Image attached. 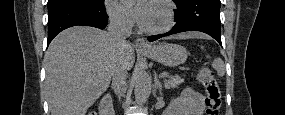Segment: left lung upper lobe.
I'll use <instances>...</instances> for the list:
<instances>
[{
	"label": "left lung upper lobe",
	"instance_id": "left-lung-upper-lobe-1",
	"mask_svg": "<svg viewBox=\"0 0 285 115\" xmlns=\"http://www.w3.org/2000/svg\"><path fill=\"white\" fill-rule=\"evenodd\" d=\"M174 2H179L180 0H173Z\"/></svg>",
	"mask_w": 285,
	"mask_h": 115
}]
</instances>
